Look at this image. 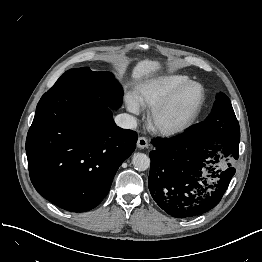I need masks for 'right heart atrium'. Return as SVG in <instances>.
Instances as JSON below:
<instances>
[{"label":"right heart atrium","instance_id":"d8ad5b80","mask_svg":"<svg viewBox=\"0 0 262 262\" xmlns=\"http://www.w3.org/2000/svg\"><path fill=\"white\" fill-rule=\"evenodd\" d=\"M126 104H127V108L131 112H137L139 110V105H138L137 101L130 96L127 97Z\"/></svg>","mask_w":262,"mask_h":262}]
</instances>
